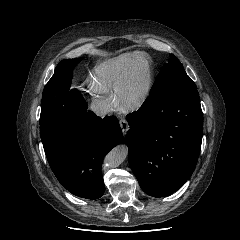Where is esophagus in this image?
<instances>
[{"label":"esophagus","mask_w":240,"mask_h":240,"mask_svg":"<svg viewBox=\"0 0 240 240\" xmlns=\"http://www.w3.org/2000/svg\"><path fill=\"white\" fill-rule=\"evenodd\" d=\"M120 127L122 129L123 134H126L127 130L129 129L128 122L125 118H122L120 121Z\"/></svg>","instance_id":"obj_1"}]
</instances>
